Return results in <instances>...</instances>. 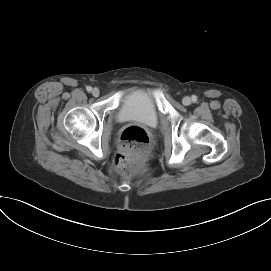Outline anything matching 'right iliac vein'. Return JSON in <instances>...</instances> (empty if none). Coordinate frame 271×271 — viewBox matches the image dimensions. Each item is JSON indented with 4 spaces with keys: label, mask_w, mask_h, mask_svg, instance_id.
Instances as JSON below:
<instances>
[{
    "label": "right iliac vein",
    "mask_w": 271,
    "mask_h": 271,
    "mask_svg": "<svg viewBox=\"0 0 271 271\" xmlns=\"http://www.w3.org/2000/svg\"><path fill=\"white\" fill-rule=\"evenodd\" d=\"M91 93H92V95H93L94 97H98L99 94H100V91H99L98 88H93L92 91H91Z\"/></svg>",
    "instance_id": "1"
}]
</instances>
